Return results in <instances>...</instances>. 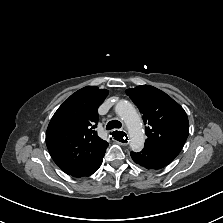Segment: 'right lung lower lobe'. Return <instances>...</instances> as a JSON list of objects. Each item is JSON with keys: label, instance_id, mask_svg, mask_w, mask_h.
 Returning <instances> with one entry per match:
<instances>
[{"label": "right lung lower lobe", "instance_id": "right-lung-lower-lobe-1", "mask_svg": "<svg viewBox=\"0 0 223 223\" xmlns=\"http://www.w3.org/2000/svg\"><path fill=\"white\" fill-rule=\"evenodd\" d=\"M103 156H101L96 162H94L91 166L87 167L86 169H83V170L78 171L76 173H73L71 175L74 176V177L90 176V175H92L100 167V165H101V163L103 161Z\"/></svg>", "mask_w": 223, "mask_h": 223}]
</instances>
